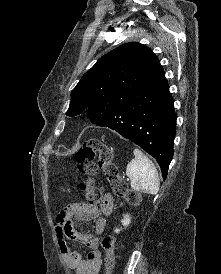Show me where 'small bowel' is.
I'll return each mask as SVG.
<instances>
[{
    "label": "small bowel",
    "instance_id": "small-bowel-1",
    "mask_svg": "<svg viewBox=\"0 0 221 274\" xmlns=\"http://www.w3.org/2000/svg\"><path fill=\"white\" fill-rule=\"evenodd\" d=\"M114 208L111 194H105L102 202L91 204L77 202L62 210L56 217L55 233L59 250L66 263L75 269V274H98L101 267V252L98 250V236L106 228V217ZM95 220L94 232L84 234L74 228L76 221ZM67 240L84 244L90 251L83 256L80 252L69 247Z\"/></svg>",
    "mask_w": 221,
    "mask_h": 274
}]
</instances>
